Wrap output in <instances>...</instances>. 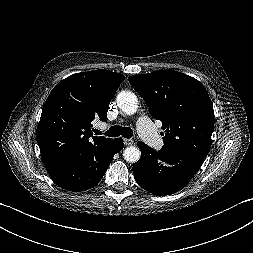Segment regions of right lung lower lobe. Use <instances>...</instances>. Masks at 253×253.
<instances>
[{
    "label": "right lung lower lobe",
    "instance_id": "1",
    "mask_svg": "<svg viewBox=\"0 0 253 253\" xmlns=\"http://www.w3.org/2000/svg\"><path fill=\"white\" fill-rule=\"evenodd\" d=\"M123 147V140L117 138L88 155L55 163L46 168L51 178L61 188L68 191H84L100 182L114 154Z\"/></svg>",
    "mask_w": 253,
    "mask_h": 253
}]
</instances>
